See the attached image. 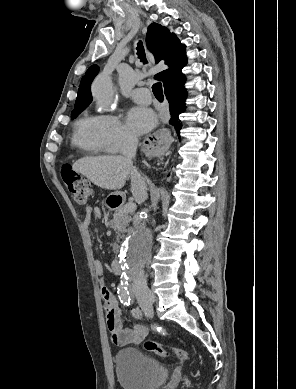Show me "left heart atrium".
Listing matches in <instances>:
<instances>
[{
  "label": "left heart atrium",
  "instance_id": "left-heart-atrium-1",
  "mask_svg": "<svg viewBox=\"0 0 296 389\" xmlns=\"http://www.w3.org/2000/svg\"><path fill=\"white\" fill-rule=\"evenodd\" d=\"M127 119L130 128L138 134L150 131L156 122L154 112L143 106L130 108L127 113Z\"/></svg>",
  "mask_w": 296,
  "mask_h": 389
}]
</instances>
